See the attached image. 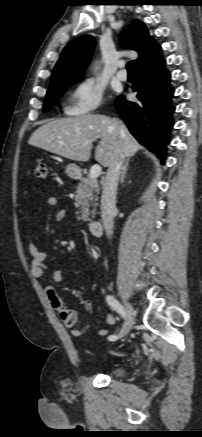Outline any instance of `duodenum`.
I'll return each instance as SVG.
<instances>
[{"mask_svg":"<svg viewBox=\"0 0 202 437\" xmlns=\"http://www.w3.org/2000/svg\"><path fill=\"white\" fill-rule=\"evenodd\" d=\"M89 231L94 237H99L102 234V223L98 220L89 222Z\"/></svg>","mask_w":202,"mask_h":437,"instance_id":"obj_1","label":"duodenum"}]
</instances>
